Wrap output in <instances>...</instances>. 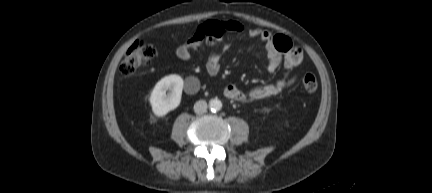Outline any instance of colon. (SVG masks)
<instances>
[{"label": "colon", "mask_w": 432, "mask_h": 193, "mask_svg": "<svg viewBox=\"0 0 432 193\" xmlns=\"http://www.w3.org/2000/svg\"><path fill=\"white\" fill-rule=\"evenodd\" d=\"M223 34L222 28L212 26L211 29L201 35L200 40H205L211 44L221 39ZM156 57L157 50L152 44L144 40H138L126 52L119 67L120 72L126 76L132 75L139 68L149 66ZM302 86L308 92H315L318 87L315 75L312 73L305 74L302 78Z\"/></svg>", "instance_id": "1"}]
</instances>
